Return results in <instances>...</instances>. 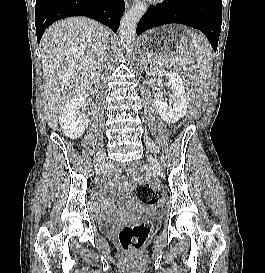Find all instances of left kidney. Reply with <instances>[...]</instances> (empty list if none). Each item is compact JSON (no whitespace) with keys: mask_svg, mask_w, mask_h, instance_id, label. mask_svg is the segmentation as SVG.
Segmentation results:
<instances>
[{"mask_svg":"<svg viewBox=\"0 0 265 273\" xmlns=\"http://www.w3.org/2000/svg\"><path fill=\"white\" fill-rule=\"evenodd\" d=\"M169 84L172 89L170 99L172 105L163 101V92L154 93L153 103L161 118L167 123L179 121L186 113L187 100L182 78L174 71L168 73Z\"/></svg>","mask_w":265,"mask_h":273,"instance_id":"5707ae66","label":"left kidney"}]
</instances>
